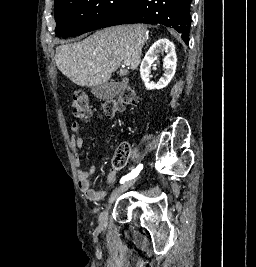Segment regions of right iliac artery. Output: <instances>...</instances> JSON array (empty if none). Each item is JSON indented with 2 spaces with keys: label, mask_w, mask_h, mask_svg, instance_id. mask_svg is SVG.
Wrapping results in <instances>:
<instances>
[{
  "label": "right iliac artery",
  "mask_w": 256,
  "mask_h": 267,
  "mask_svg": "<svg viewBox=\"0 0 256 267\" xmlns=\"http://www.w3.org/2000/svg\"><path fill=\"white\" fill-rule=\"evenodd\" d=\"M142 168H143V165L139 164L131 173L127 174L126 176H123L120 180V183L122 184L125 181L135 178L139 174Z\"/></svg>",
  "instance_id": "82829eb1"
}]
</instances>
